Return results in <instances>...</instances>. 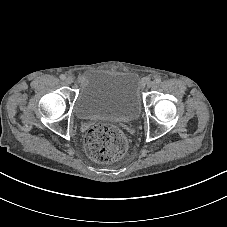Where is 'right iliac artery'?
Wrapping results in <instances>:
<instances>
[{
    "mask_svg": "<svg viewBox=\"0 0 227 227\" xmlns=\"http://www.w3.org/2000/svg\"><path fill=\"white\" fill-rule=\"evenodd\" d=\"M60 79H61V80H65V79H66V76H65L64 74H61V75H60Z\"/></svg>",
    "mask_w": 227,
    "mask_h": 227,
    "instance_id": "1",
    "label": "right iliac artery"
}]
</instances>
